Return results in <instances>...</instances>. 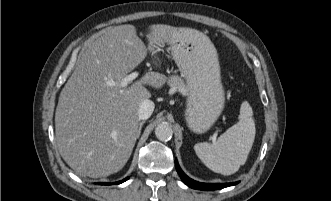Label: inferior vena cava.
<instances>
[{
    "instance_id": "602c4592",
    "label": "inferior vena cava",
    "mask_w": 331,
    "mask_h": 201,
    "mask_svg": "<svg viewBox=\"0 0 331 201\" xmlns=\"http://www.w3.org/2000/svg\"><path fill=\"white\" fill-rule=\"evenodd\" d=\"M154 103L151 100H144L139 106L138 109V118L140 120L148 119L154 111Z\"/></svg>"
}]
</instances>
